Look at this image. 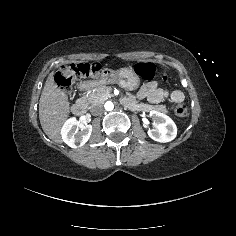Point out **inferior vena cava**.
<instances>
[{"label":"inferior vena cava","mask_w":236,"mask_h":236,"mask_svg":"<svg viewBox=\"0 0 236 236\" xmlns=\"http://www.w3.org/2000/svg\"><path fill=\"white\" fill-rule=\"evenodd\" d=\"M92 115H99L100 113L103 112V106L102 104H95L91 107L90 110Z\"/></svg>","instance_id":"obj_1"}]
</instances>
